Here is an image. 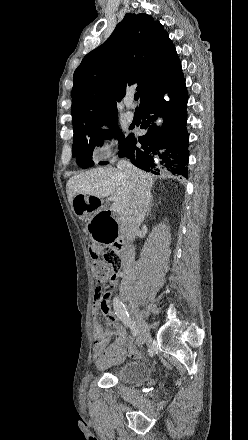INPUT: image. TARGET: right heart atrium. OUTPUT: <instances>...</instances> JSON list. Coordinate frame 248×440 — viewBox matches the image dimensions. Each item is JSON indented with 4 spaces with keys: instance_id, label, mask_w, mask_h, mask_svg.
Instances as JSON below:
<instances>
[{
    "instance_id": "d8ad5b80",
    "label": "right heart atrium",
    "mask_w": 248,
    "mask_h": 440,
    "mask_svg": "<svg viewBox=\"0 0 248 440\" xmlns=\"http://www.w3.org/2000/svg\"><path fill=\"white\" fill-rule=\"evenodd\" d=\"M118 149V139L110 126L105 125L100 130V137L94 150L93 158L96 162L113 160Z\"/></svg>"
}]
</instances>
